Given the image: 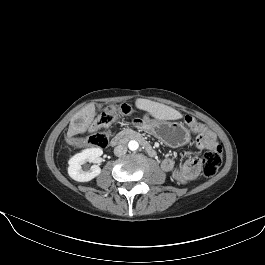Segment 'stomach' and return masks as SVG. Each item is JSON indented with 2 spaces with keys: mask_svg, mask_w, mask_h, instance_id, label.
<instances>
[{
  "mask_svg": "<svg viewBox=\"0 0 265 265\" xmlns=\"http://www.w3.org/2000/svg\"><path fill=\"white\" fill-rule=\"evenodd\" d=\"M142 128L170 147H180L190 141V132L181 123L143 119Z\"/></svg>",
  "mask_w": 265,
  "mask_h": 265,
  "instance_id": "obj_1",
  "label": "stomach"
}]
</instances>
